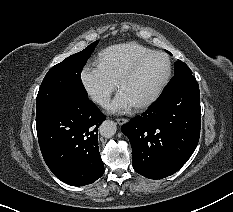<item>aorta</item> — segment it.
Wrapping results in <instances>:
<instances>
[{
  "mask_svg": "<svg viewBox=\"0 0 233 212\" xmlns=\"http://www.w3.org/2000/svg\"><path fill=\"white\" fill-rule=\"evenodd\" d=\"M116 130L117 124L112 120L104 121L99 128L100 134L105 138L112 137L116 133Z\"/></svg>",
  "mask_w": 233,
  "mask_h": 212,
  "instance_id": "obj_1",
  "label": "aorta"
}]
</instances>
